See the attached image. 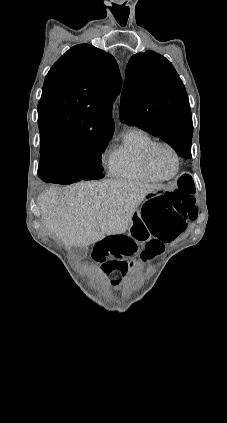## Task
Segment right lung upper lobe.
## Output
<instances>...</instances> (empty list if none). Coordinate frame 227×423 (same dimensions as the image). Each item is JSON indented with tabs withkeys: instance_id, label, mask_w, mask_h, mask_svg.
Masks as SVG:
<instances>
[{
	"instance_id": "obj_1",
	"label": "right lung upper lobe",
	"mask_w": 227,
	"mask_h": 423,
	"mask_svg": "<svg viewBox=\"0 0 227 423\" xmlns=\"http://www.w3.org/2000/svg\"><path fill=\"white\" fill-rule=\"evenodd\" d=\"M115 58L90 44L69 49L50 69L38 103L40 142L112 135L111 104L121 91Z\"/></svg>"
}]
</instances>
